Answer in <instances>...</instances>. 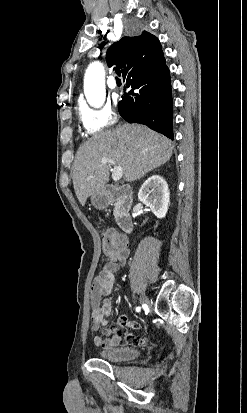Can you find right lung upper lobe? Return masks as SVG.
<instances>
[{"instance_id":"1","label":"right lung upper lobe","mask_w":247,"mask_h":413,"mask_svg":"<svg viewBox=\"0 0 247 413\" xmlns=\"http://www.w3.org/2000/svg\"><path fill=\"white\" fill-rule=\"evenodd\" d=\"M109 67L123 77L138 76L157 68L165 62L161 44L157 37L143 32L140 36L123 37L112 44L106 53Z\"/></svg>"}]
</instances>
